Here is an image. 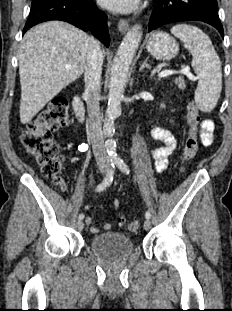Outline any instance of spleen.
Segmentation results:
<instances>
[{
	"mask_svg": "<svg viewBox=\"0 0 232 311\" xmlns=\"http://www.w3.org/2000/svg\"><path fill=\"white\" fill-rule=\"evenodd\" d=\"M171 33L184 43L193 57L191 65L199 78L194 95L196 105L201 111L210 112L216 106L222 89L221 63L212 42L193 25H175Z\"/></svg>",
	"mask_w": 232,
	"mask_h": 311,
	"instance_id": "3e777b00",
	"label": "spleen"
}]
</instances>
